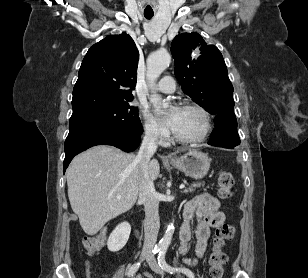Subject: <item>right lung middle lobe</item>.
<instances>
[{"mask_svg": "<svg viewBox=\"0 0 308 278\" xmlns=\"http://www.w3.org/2000/svg\"><path fill=\"white\" fill-rule=\"evenodd\" d=\"M85 129H113L142 133L137 107L120 103L86 113L73 115L69 121V132Z\"/></svg>", "mask_w": 308, "mask_h": 278, "instance_id": "right-lung-middle-lobe-1", "label": "right lung middle lobe"}]
</instances>
